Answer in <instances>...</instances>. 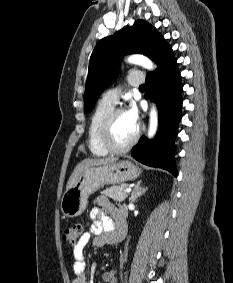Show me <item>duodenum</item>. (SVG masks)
<instances>
[{"label": "duodenum", "instance_id": "410a0bca", "mask_svg": "<svg viewBox=\"0 0 233 283\" xmlns=\"http://www.w3.org/2000/svg\"><path fill=\"white\" fill-rule=\"evenodd\" d=\"M125 232H126L125 221H120L117 224L116 230L113 234V241L115 244H119L123 240L125 236Z\"/></svg>", "mask_w": 233, "mask_h": 283}]
</instances>
